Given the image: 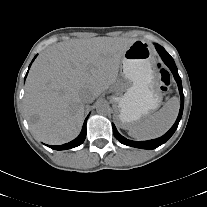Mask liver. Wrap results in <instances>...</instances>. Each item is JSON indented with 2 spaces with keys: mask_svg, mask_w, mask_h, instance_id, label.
<instances>
[{
  "mask_svg": "<svg viewBox=\"0 0 207 207\" xmlns=\"http://www.w3.org/2000/svg\"><path fill=\"white\" fill-rule=\"evenodd\" d=\"M135 39L94 37L49 46L27 77L24 107L31 131L59 145L76 138L84 119L81 93L94 99L114 85L125 51Z\"/></svg>",
  "mask_w": 207,
  "mask_h": 207,
  "instance_id": "liver-1",
  "label": "liver"
}]
</instances>
